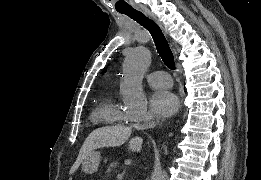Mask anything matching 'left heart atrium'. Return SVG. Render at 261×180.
Here are the masks:
<instances>
[{
	"mask_svg": "<svg viewBox=\"0 0 261 180\" xmlns=\"http://www.w3.org/2000/svg\"><path fill=\"white\" fill-rule=\"evenodd\" d=\"M178 108V98L168 90H156L149 98L147 113L158 117H168Z\"/></svg>",
	"mask_w": 261,
	"mask_h": 180,
	"instance_id": "left-heart-atrium-1",
	"label": "left heart atrium"
}]
</instances>
